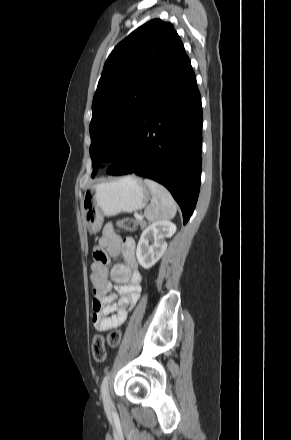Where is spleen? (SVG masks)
<instances>
[{"mask_svg":"<svg viewBox=\"0 0 291 440\" xmlns=\"http://www.w3.org/2000/svg\"><path fill=\"white\" fill-rule=\"evenodd\" d=\"M151 191L152 200L144 211L148 221L169 220L176 215L177 205L170 192L159 183L145 179Z\"/></svg>","mask_w":291,"mask_h":440,"instance_id":"3e777b00","label":"spleen"}]
</instances>
